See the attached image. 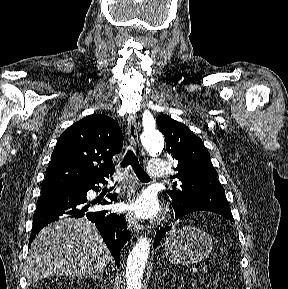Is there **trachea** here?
I'll list each match as a JSON object with an SVG mask.
<instances>
[{
    "label": "trachea",
    "instance_id": "obj_1",
    "mask_svg": "<svg viewBox=\"0 0 288 289\" xmlns=\"http://www.w3.org/2000/svg\"><path fill=\"white\" fill-rule=\"evenodd\" d=\"M128 165L132 166L135 174L137 175V177L140 180H150L149 176L146 174V172L139 165L138 159L132 150L127 151L123 161L120 164V167L125 168Z\"/></svg>",
    "mask_w": 288,
    "mask_h": 289
}]
</instances>
